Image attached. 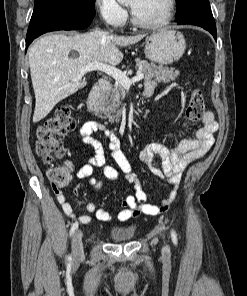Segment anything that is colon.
Instances as JSON below:
<instances>
[{"label":"colon","mask_w":247,"mask_h":296,"mask_svg":"<svg viewBox=\"0 0 247 296\" xmlns=\"http://www.w3.org/2000/svg\"><path fill=\"white\" fill-rule=\"evenodd\" d=\"M205 101L200 89L191 91L190 99L185 110L186 124L194 123L203 117ZM77 117L69 107L58 108L53 115L46 119L36 131V153L47 164L48 178L55 187H64L72 179L71 170L66 165H54L66 152L63 144L64 136L74 130Z\"/></svg>","instance_id":"colon-1"}]
</instances>
